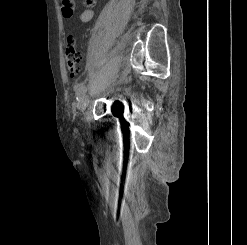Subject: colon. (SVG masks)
Listing matches in <instances>:
<instances>
[{"instance_id":"5ec220e1","label":"colon","mask_w":247,"mask_h":245,"mask_svg":"<svg viewBox=\"0 0 247 245\" xmlns=\"http://www.w3.org/2000/svg\"><path fill=\"white\" fill-rule=\"evenodd\" d=\"M65 60L67 73L71 78L77 76L81 70V56L76 47L73 37H68L66 41Z\"/></svg>"}]
</instances>
